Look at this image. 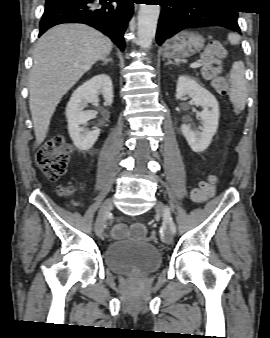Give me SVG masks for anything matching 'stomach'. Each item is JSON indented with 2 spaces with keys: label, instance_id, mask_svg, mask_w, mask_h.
Returning a JSON list of instances; mask_svg holds the SVG:
<instances>
[{
  "label": "stomach",
  "instance_id": "obj_1",
  "mask_svg": "<svg viewBox=\"0 0 270 338\" xmlns=\"http://www.w3.org/2000/svg\"><path fill=\"white\" fill-rule=\"evenodd\" d=\"M204 39L201 35L189 31H182L163 45L165 58H187L201 51L204 47Z\"/></svg>",
  "mask_w": 270,
  "mask_h": 338
}]
</instances>
